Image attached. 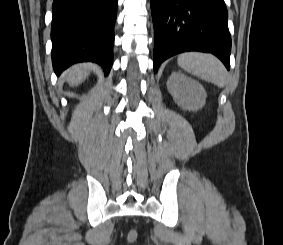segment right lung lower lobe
Returning <instances> with one entry per match:
<instances>
[{"label": "right lung lower lobe", "mask_w": 283, "mask_h": 245, "mask_svg": "<svg viewBox=\"0 0 283 245\" xmlns=\"http://www.w3.org/2000/svg\"><path fill=\"white\" fill-rule=\"evenodd\" d=\"M118 0H54L52 62L57 75L76 62L100 64L108 75L113 63Z\"/></svg>", "instance_id": "98d812e1"}]
</instances>
